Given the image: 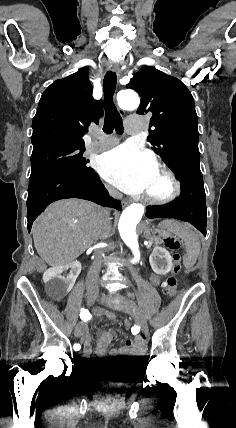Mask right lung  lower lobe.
I'll use <instances>...</instances> for the list:
<instances>
[{"mask_svg":"<svg viewBox=\"0 0 236 428\" xmlns=\"http://www.w3.org/2000/svg\"><path fill=\"white\" fill-rule=\"evenodd\" d=\"M65 198L86 199L105 207L122 209L120 202L109 196L98 174L92 168L81 172H54L29 181L28 231L30 232L33 221L50 203Z\"/></svg>","mask_w":236,"mask_h":428,"instance_id":"obj_1","label":"right lung lower lobe"}]
</instances>
